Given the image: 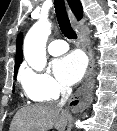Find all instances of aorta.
<instances>
[{
    "label": "aorta",
    "instance_id": "aorta-1",
    "mask_svg": "<svg viewBox=\"0 0 117 131\" xmlns=\"http://www.w3.org/2000/svg\"><path fill=\"white\" fill-rule=\"evenodd\" d=\"M50 33L51 23L46 18H40L24 39V58L36 71H42L47 64L46 42Z\"/></svg>",
    "mask_w": 117,
    "mask_h": 131
}]
</instances>
